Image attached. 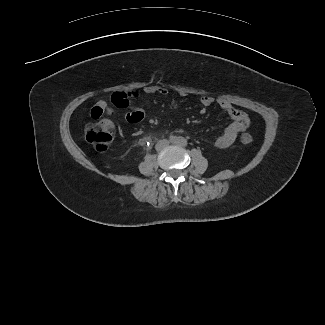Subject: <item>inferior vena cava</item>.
Returning a JSON list of instances; mask_svg holds the SVG:
<instances>
[{
    "label": "inferior vena cava",
    "instance_id": "602c4592",
    "mask_svg": "<svg viewBox=\"0 0 325 325\" xmlns=\"http://www.w3.org/2000/svg\"><path fill=\"white\" fill-rule=\"evenodd\" d=\"M169 144V142L167 140H160L157 144H156V150L160 151L161 149H163L165 146H167Z\"/></svg>",
    "mask_w": 325,
    "mask_h": 325
}]
</instances>
